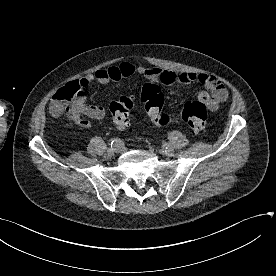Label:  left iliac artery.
I'll list each match as a JSON object with an SVG mask.
<instances>
[{
	"label": "left iliac artery",
	"instance_id": "1",
	"mask_svg": "<svg viewBox=\"0 0 276 276\" xmlns=\"http://www.w3.org/2000/svg\"><path fill=\"white\" fill-rule=\"evenodd\" d=\"M163 149H164V150L172 149V145H171L170 143H165V144L163 145Z\"/></svg>",
	"mask_w": 276,
	"mask_h": 276
}]
</instances>
